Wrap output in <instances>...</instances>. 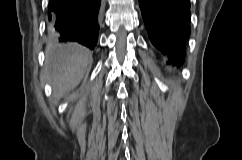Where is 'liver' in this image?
<instances>
[{"label": "liver", "mask_w": 242, "mask_h": 160, "mask_svg": "<svg viewBox=\"0 0 242 160\" xmlns=\"http://www.w3.org/2000/svg\"><path fill=\"white\" fill-rule=\"evenodd\" d=\"M91 60V52L79 44L48 43L45 73L54 91L61 95L74 89L83 78Z\"/></svg>", "instance_id": "obj_1"}]
</instances>
